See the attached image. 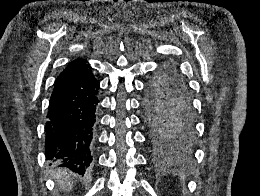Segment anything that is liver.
<instances>
[{
  "label": "liver",
  "mask_w": 260,
  "mask_h": 196,
  "mask_svg": "<svg viewBox=\"0 0 260 196\" xmlns=\"http://www.w3.org/2000/svg\"><path fill=\"white\" fill-rule=\"evenodd\" d=\"M71 176H75V174H72V172H69L66 168H58L57 172L54 174V178L57 180L58 186H60L62 190L67 188V186H70L69 190H71L72 184L69 182Z\"/></svg>",
  "instance_id": "liver-1"
}]
</instances>
